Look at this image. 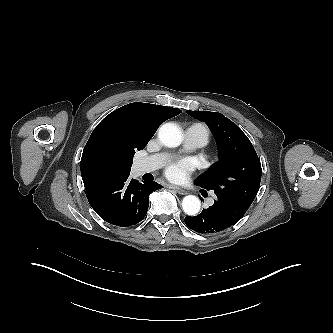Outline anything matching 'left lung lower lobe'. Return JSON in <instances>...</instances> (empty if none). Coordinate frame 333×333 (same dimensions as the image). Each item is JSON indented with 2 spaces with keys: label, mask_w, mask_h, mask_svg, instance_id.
<instances>
[{
  "label": "left lung lower lobe",
  "mask_w": 333,
  "mask_h": 333,
  "mask_svg": "<svg viewBox=\"0 0 333 333\" xmlns=\"http://www.w3.org/2000/svg\"><path fill=\"white\" fill-rule=\"evenodd\" d=\"M203 190V189H202ZM214 204L194 217H185L186 225L199 233L212 234L238 222L249 209L245 204L216 194Z\"/></svg>",
  "instance_id": "left-lung-lower-lobe-1"
}]
</instances>
